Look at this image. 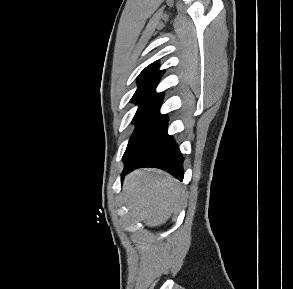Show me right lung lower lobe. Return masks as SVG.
I'll return each mask as SVG.
<instances>
[{
  "label": "right lung lower lobe",
  "instance_id": "obj_1",
  "mask_svg": "<svg viewBox=\"0 0 293 289\" xmlns=\"http://www.w3.org/2000/svg\"><path fill=\"white\" fill-rule=\"evenodd\" d=\"M168 118L151 130L136 145L126 149L122 178L137 167H155L182 181L183 157L172 136L167 134Z\"/></svg>",
  "mask_w": 293,
  "mask_h": 289
}]
</instances>
